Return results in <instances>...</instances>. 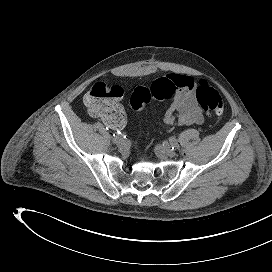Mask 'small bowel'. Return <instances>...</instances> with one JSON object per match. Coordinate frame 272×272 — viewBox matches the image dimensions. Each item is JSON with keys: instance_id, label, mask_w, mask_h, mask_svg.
<instances>
[{"instance_id": "obj_1", "label": "small bowel", "mask_w": 272, "mask_h": 272, "mask_svg": "<svg viewBox=\"0 0 272 272\" xmlns=\"http://www.w3.org/2000/svg\"><path fill=\"white\" fill-rule=\"evenodd\" d=\"M167 77L174 80L178 88L172 103L164 113V126L172 129L178 125L202 124L205 117L194 95L196 83L186 75L170 74ZM102 120L114 130H120L126 125V115L120 104L116 113Z\"/></svg>"}]
</instances>
